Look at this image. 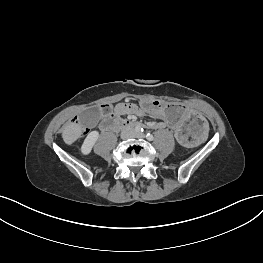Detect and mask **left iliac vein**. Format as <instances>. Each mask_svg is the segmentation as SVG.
I'll return each mask as SVG.
<instances>
[{
    "mask_svg": "<svg viewBox=\"0 0 263 263\" xmlns=\"http://www.w3.org/2000/svg\"><path fill=\"white\" fill-rule=\"evenodd\" d=\"M139 137L143 138L144 137V134L140 133L138 134Z\"/></svg>",
    "mask_w": 263,
    "mask_h": 263,
    "instance_id": "obj_1",
    "label": "left iliac vein"
}]
</instances>
